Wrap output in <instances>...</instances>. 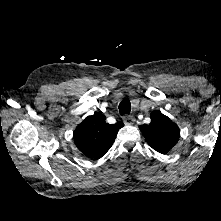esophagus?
Returning a JSON list of instances; mask_svg holds the SVG:
<instances>
[{"label": "esophagus", "mask_w": 221, "mask_h": 221, "mask_svg": "<svg viewBox=\"0 0 221 221\" xmlns=\"http://www.w3.org/2000/svg\"><path fill=\"white\" fill-rule=\"evenodd\" d=\"M123 122L126 125H133L135 123V117L133 115H126L123 117Z\"/></svg>", "instance_id": "esophagus-1"}]
</instances>
